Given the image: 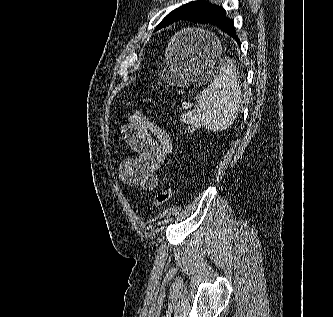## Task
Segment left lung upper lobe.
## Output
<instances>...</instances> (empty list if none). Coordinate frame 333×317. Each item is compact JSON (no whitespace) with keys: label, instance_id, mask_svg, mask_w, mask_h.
<instances>
[{"label":"left lung upper lobe","instance_id":"left-lung-upper-lobe-1","mask_svg":"<svg viewBox=\"0 0 333 317\" xmlns=\"http://www.w3.org/2000/svg\"><path fill=\"white\" fill-rule=\"evenodd\" d=\"M208 4L205 0H196L189 2L187 4H184L177 9L171 11L156 27V30L166 27L169 24H172L173 22L181 20L186 14H188L190 11L202 7L204 5Z\"/></svg>","mask_w":333,"mask_h":317}]
</instances>
